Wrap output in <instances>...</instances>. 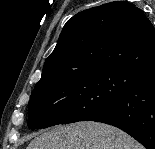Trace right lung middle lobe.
Masks as SVG:
<instances>
[{"mask_svg": "<svg viewBox=\"0 0 155 149\" xmlns=\"http://www.w3.org/2000/svg\"><path fill=\"white\" fill-rule=\"evenodd\" d=\"M144 77L132 70L113 69L40 81L28 104V127L47 128L91 120Z\"/></svg>", "mask_w": 155, "mask_h": 149, "instance_id": "right-lung-middle-lobe-1", "label": "right lung middle lobe"}]
</instances>
